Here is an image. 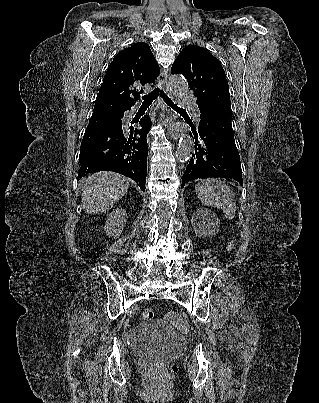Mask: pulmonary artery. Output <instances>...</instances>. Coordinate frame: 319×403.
Here are the masks:
<instances>
[{"mask_svg": "<svg viewBox=\"0 0 319 403\" xmlns=\"http://www.w3.org/2000/svg\"><path fill=\"white\" fill-rule=\"evenodd\" d=\"M180 105L182 107H195V102L190 94L184 93L181 95ZM195 121L200 122V112L197 109H195Z\"/></svg>", "mask_w": 319, "mask_h": 403, "instance_id": "e3ab8cb5", "label": "pulmonary artery"}]
</instances>
